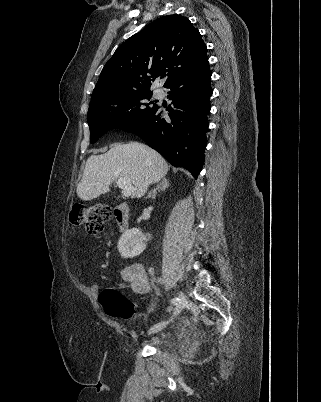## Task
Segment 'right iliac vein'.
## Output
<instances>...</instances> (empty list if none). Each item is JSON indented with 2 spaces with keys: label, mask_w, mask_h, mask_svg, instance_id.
<instances>
[{
  "label": "right iliac vein",
  "mask_w": 321,
  "mask_h": 402,
  "mask_svg": "<svg viewBox=\"0 0 321 402\" xmlns=\"http://www.w3.org/2000/svg\"><path fill=\"white\" fill-rule=\"evenodd\" d=\"M179 301L175 304V308H174V312H173V317H176L184 308L186 299L185 296L182 292L179 293ZM169 321H163L161 323L156 324L155 326H153L150 330H149V334H154L157 333L161 330H163L167 325H168Z\"/></svg>",
  "instance_id": "63e3f726"
}]
</instances>
